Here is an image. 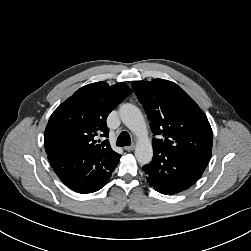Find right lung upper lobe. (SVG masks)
<instances>
[{
	"mask_svg": "<svg viewBox=\"0 0 251 251\" xmlns=\"http://www.w3.org/2000/svg\"><path fill=\"white\" fill-rule=\"evenodd\" d=\"M131 93L124 83L109 86L97 82L81 87L52 113L44 134L46 153L72 149L98 156L106 168L113 167L121 155L112 150L108 140L96 144L94 138L108 137L107 116Z\"/></svg>",
	"mask_w": 251,
	"mask_h": 251,
	"instance_id": "obj_1",
	"label": "right lung upper lobe"
}]
</instances>
